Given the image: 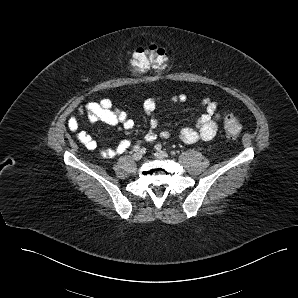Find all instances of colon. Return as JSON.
Instances as JSON below:
<instances>
[{
    "label": "colon",
    "instance_id": "obj_1",
    "mask_svg": "<svg viewBox=\"0 0 298 298\" xmlns=\"http://www.w3.org/2000/svg\"><path fill=\"white\" fill-rule=\"evenodd\" d=\"M167 53L157 44H147L136 48L131 57V67L145 75L149 71L162 72L167 67ZM224 129L230 139H237L242 131L238 118L229 112L224 114Z\"/></svg>",
    "mask_w": 298,
    "mask_h": 298
}]
</instances>
